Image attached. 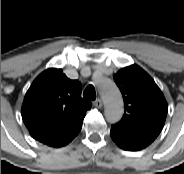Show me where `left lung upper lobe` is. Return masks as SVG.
<instances>
[{"label": "left lung upper lobe", "mask_w": 184, "mask_h": 174, "mask_svg": "<svg viewBox=\"0 0 184 174\" xmlns=\"http://www.w3.org/2000/svg\"><path fill=\"white\" fill-rule=\"evenodd\" d=\"M125 112L117 127L131 133L157 138L167 116V102L154 80L139 66L122 68L114 75Z\"/></svg>", "instance_id": "1"}]
</instances>
